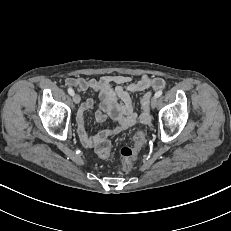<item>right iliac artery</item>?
Listing matches in <instances>:
<instances>
[{
  "label": "right iliac artery",
  "mask_w": 231,
  "mask_h": 231,
  "mask_svg": "<svg viewBox=\"0 0 231 231\" xmlns=\"http://www.w3.org/2000/svg\"><path fill=\"white\" fill-rule=\"evenodd\" d=\"M68 93L71 95V96H73L74 95V90L72 89V88H68Z\"/></svg>",
  "instance_id": "1"
}]
</instances>
